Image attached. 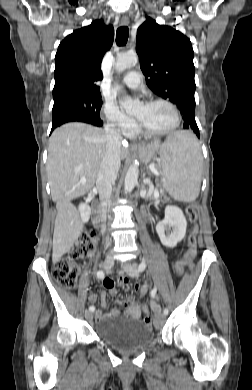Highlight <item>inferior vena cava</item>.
<instances>
[{
    "instance_id": "inferior-vena-cava-1",
    "label": "inferior vena cava",
    "mask_w": 252,
    "mask_h": 390,
    "mask_svg": "<svg viewBox=\"0 0 252 390\" xmlns=\"http://www.w3.org/2000/svg\"><path fill=\"white\" fill-rule=\"evenodd\" d=\"M107 136L106 151L100 164L96 187L99 193L100 209L106 214L110 203L112 185L115 183L120 168V148L122 137L112 125L105 126Z\"/></svg>"
}]
</instances>
